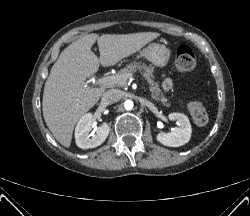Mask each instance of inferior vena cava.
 <instances>
[{
	"mask_svg": "<svg viewBox=\"0 0 250 216\" xmlns=\"http://www.w3.org/2000/svg\"><path fill=\"white\" fill-rule=\"evenodd\" d=\"M123 94L121 90L118 89H111L106 91L103 96L102 100L108 104H112L118 102L122 98Z\"/></svg>",
	"mask_w": 250,
	"mask_h": 216,
	"instance_id": "inferior-vena-cava-1",
	"label": "inferior vena cava"
}]
</instances>
